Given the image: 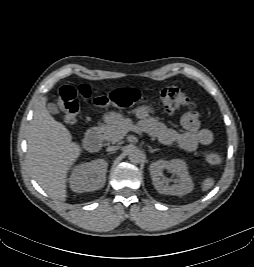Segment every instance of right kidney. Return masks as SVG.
<instances>
[{"label":"right kidney","mask_w":254,"mask_h":267,"mask_svg":"<svg viewBox=\"0 0 254 267\" xmlns=\"http://www.w3.org/2000/svg\"><path fill=\"white\" fill-rule=\"evenodd\" d=\"M107 168L108 163L104 159L77 165L69 178L71 190L83 193L102 188L106 182Z\"/></svg>","instance_id":"ca27d5eb"}]
</instances>
